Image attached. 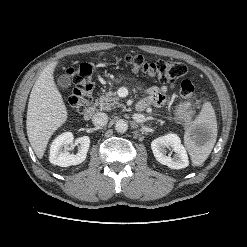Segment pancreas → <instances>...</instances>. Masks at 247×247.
<instances>
[{
  "mask_svg": "<svg viewBox=\"0 0 247 247\" xmlns=\"http://www.w3.org/2000/svg\"><path fill=\"white\" fill-rule=\"evenodd\" d=\"M98 104L100 110H111L114 108H120L124 105L119 101V97L117 96L116 92L109 91L105 93L104 95L100 96L98 99Z\"/></svg>",
  "mask_w": 247,
  "mask_h": 247,
  "instance_id": "1",
  "label": "pancreas"
}]
</instances>
